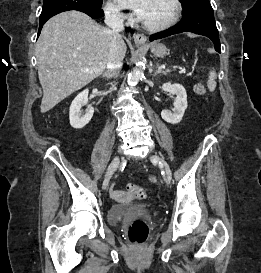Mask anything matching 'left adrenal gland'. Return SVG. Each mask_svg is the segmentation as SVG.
I'll use <instances>...</instances> for the list:
<instances>
[{
	"label": "left adrenal gland",
	"mask_w": 261,
	"mask_h": 273,
	"mask_svg": "<svg viewBox=\"0 0 261 273\" xmlns=\"http://www.w3.org/2000/svg\"><path fill=\"white\" fill-rule=\"evenodd\" d=\"M159 73H163L164 74L165 72L162 70V67L159 64H157V70L154 73V75H157Z\"/></svg>",
	"instance_id": "1"
}]
</instances>
